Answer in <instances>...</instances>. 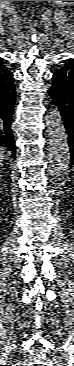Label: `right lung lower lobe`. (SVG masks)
Returning <instances> with one entry per match:
<instances>
[{"instance_id":"right-lung-lower-lobe-1","label":"right lung lower lobe","mask_w":74,"mask_h":366,"mask_svg":"<svg viewBox=\"0 0 74 366\" xmlns=\"http://www.w3.org/2000/svg\"><path fill=\"white\" fill-rule=\"evenodd\" d=\"M14 78L11 73L9 79L0 81V147H5L16 157V145L11 132L12 114L15 106Z\"/></svg>"}]
</instances>
